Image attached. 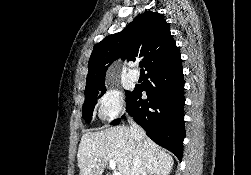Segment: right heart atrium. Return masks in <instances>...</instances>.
Wrapping results in <instances>:
<instances>
[{"label": "right heart atrium", "mask_w": 251, "mask_h": 175, "mask_svg": "<svg viewBox=\"0 0 251 175\" xmlns=\"http://www.w3.org/2000/svg\"><path fill=\"white\" fill-rule=\"evenodd\" d=\"M107 86L96 103L98 117L110 121L124 110V99L121 91L113 85V77H107Z\"/></svg>", "instance_id": "obj_1"}]
</instances>
